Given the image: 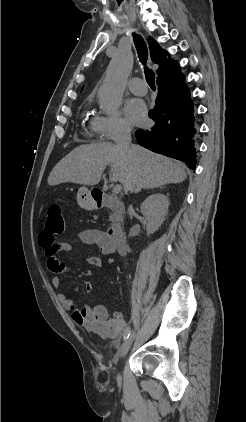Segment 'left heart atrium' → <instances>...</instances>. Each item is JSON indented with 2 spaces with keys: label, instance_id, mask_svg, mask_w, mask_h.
Returning a JSON list of instances; mask_svg holds the SVG:
<instances>
[{
  "label": "left heart atrium",
  "instance_id": "39dd6f15",
  "mask_svg": "<svg viewBox=\"0 0 246 422\" xmlns=\"http://www.w3.org/2000/svg\"><path fill=\"white\" fill-rule=\"evenodd\" d=\"M126 114L129 120L137 125H142L146 121L147 109L145 103L140 99H130L127 101Z\"/></svg>",
  "mask_w": 246,
  "mask_h": 422
}]
</instances>
